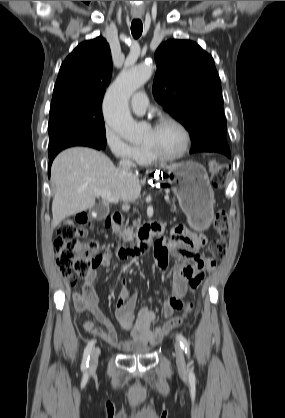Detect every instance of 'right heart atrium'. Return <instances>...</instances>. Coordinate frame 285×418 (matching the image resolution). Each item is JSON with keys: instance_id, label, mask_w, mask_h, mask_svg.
I'll return each mask as SVG.
<instances>
[{"instance_id": "right-heart-atrium-1", "label": "right heart atrium", "mask_w": 285, "mask_h": 418, "mask_svg": "<svg viewBox=\"0 0 285 418\" xmlns=\"http://www.w3.org/2000/svg\"><path fill=\"white\" fill-rule=\"evenodd\" d=\"M103 140L105 146L117 160L121 162H135L138 160L140 148L128 143L109 125L105 128Z\"/></svg>"}]
</instances>
